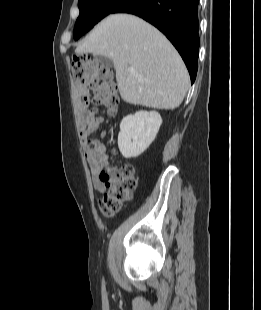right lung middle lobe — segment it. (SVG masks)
Segmentation results:
<instances>
[{"label":"right lung middle lobe","instance_id":"obj_1","mask_svg":"<svg viewBox=\"0 0 261 310\" xmlns=\"http://www.w3.org/2000/svg\"><path fill=\"white\" fill-rule=\"evenodd\" d=\"M125 0H78L80 15L74 27L77 40Z\"/></svg>","mask_w":261,"mask_h":310}]
</instances>
